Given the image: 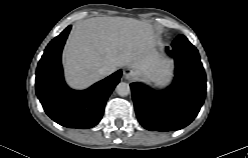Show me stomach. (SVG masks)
<instances>
[{
	"label": "stomach",
	"instance_id": "stomach-1",
	"mask_svg": "<svg viewBox=\"0 0 248 158\" xmlns=\"http://www.w3.org/2000/svg\"><path fill=\"white\" fill-rule=\"evenodd\" d=\"M169 64H170V63H169ZM137 74H138L140 77H142L144 80H149V77L146 76V75H144L143 73L137 71Z\"/></svg>",
	"mask_w": 248,
	"mask_h": 158
}]
</instances>
